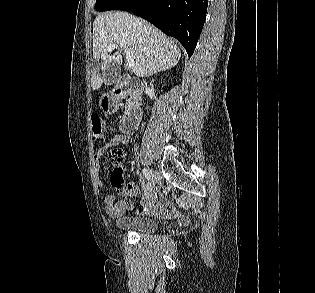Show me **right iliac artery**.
I'll list each match as a JSON object with an SVG mask.
<instances>
[{"label": "right iliac artery", "instance_id": "right-iliac-artery-1", "mask_svg": "<svg viewBox=\"0 0 315 293\" xmlns=\"http://www.w3.org/2000/svg\"><path fill=\"white\" fill-rule=\"evenodd\" d=\"M143 175L146 177V179L150 180L151 179V174L147 169H143Z\"/></svg>", "mask_w": 315, "mask_h": 293}]
</instances>
